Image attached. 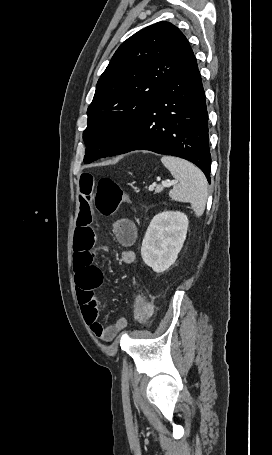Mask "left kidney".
Wrapping results in <instances>:
<instances>
[{
	"instance_id": "left-kidney-1",
	"label": "left kidney",
	"mask_w": 272,
	"mask_h": 455,
	"mask_svg": "<svg viewBox=\"0 0 272 455\" xmlns=\"http://www.w3.org/2000/svg\"><path fill=\"white\" fill-rule=\"evenodd\" d=\"M188 223L187 216L179 211H164L155 215L142 242L144 263L157 273L168 270L183 247Z\"/></svg>"
}]
</instances>
